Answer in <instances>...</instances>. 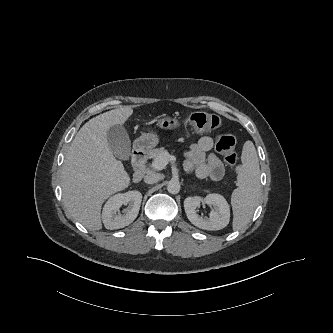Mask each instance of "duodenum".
Masks as SVG:
<instances>
[{"instance_id":"1","label":"duodenum","mask_w":333,"mask_h":333,"mask_svg":"<svg viewBox=\"0 0 333 333\" xmlns=\"http://www.w3.org/2000/svg\"><path fill=\"white\" fill-rule=\"evenodd\" d=\"M147 159V153L144 150L136 149L132 155V164L134 167L133 182L139 183L145 174V163Z\"/></svg>"}]
</instances>
